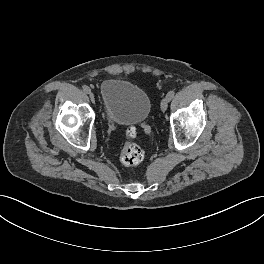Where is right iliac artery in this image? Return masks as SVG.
Masks as SVG:
<instances>
[{
  "label": "right iliac artery",
  "instance_id": "1",
  "mask_svg": "<svg viewBox=\"0 0 264 264\" xmlns=\"http://www.w3.org/2000/svg\"><path fill=\"white\" fill-rule=\"evenodd\" d=\"M83 91H84L85 93H89V92H91V90H90V88H89L88 86H83Z\"/></svg>",
  "mask_w": 264,
  "mask_h": 264
}]
</instances>
